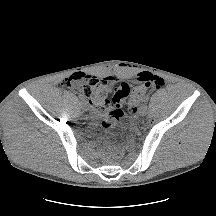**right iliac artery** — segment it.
Masks as SVG:
<instances>
[{
  "label": "right iliac artery",
  "instance_id": "obj_1",
  "mask_svg": "<svg viewBox=\"0 0 216 216\" xmlns=\"http://www.w3.org/2000/svg\"><path fill=\"white\" fill-rule=\"evenodd\" d=\"M78 102H79L80 105L84 104V100H83V98L81 96L78 98Z\"/></svg>",
  "mask_w": 216,
  "mask_h": 216
}]
</instances>
